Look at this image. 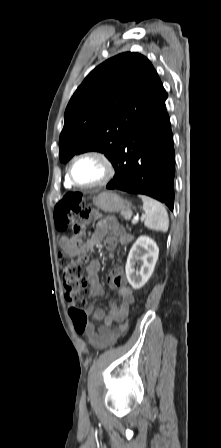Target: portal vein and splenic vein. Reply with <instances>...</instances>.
I'll list each match as a JSON object with an SVG mask.
<instances>
[{
  "label": "portal vein and splenic vein",
  "mask_w": 221,
  "mask_h": 448,
  "mask_svg": "<svg viewBox=\"0 0 221 448\" xmlns=\"http://www.w3.org/2000/svg\"><path fill=\"white\" fill-rule=\"evenodd\" d=\"M138 221H139V219L137 217H135L132 219V224L135 225L138 223Z\"/></svg>",
  "instance_id": "obj_1"
}]
</instances>
